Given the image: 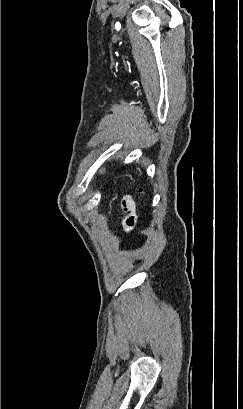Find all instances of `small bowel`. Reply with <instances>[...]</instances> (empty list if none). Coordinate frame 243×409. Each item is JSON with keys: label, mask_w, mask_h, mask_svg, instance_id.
<instances>
[{"label": "small bowel", "mask_w": 243, "mask_h": 409, "mask_svg": "<svg viewBox=\"0 0 243 409\" xmlns=\"http://www.w3.org/2000/svg\"><path fill=\"white\" fill-rule=\"evenodd\" d=\"M122 208L125 211L126 218L124 220V227L127 232L131 231L136 222L135 202L131 196H125L122 200Z\"/></svg>", "instance_id": "small-bowel-1"}]
</instances>
